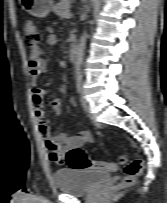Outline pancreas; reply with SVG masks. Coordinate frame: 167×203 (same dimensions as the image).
<instances>
[{
	"mask_svg": "<svg viewBox=\"0 0 167 203\" xmlns=\"http://www.w3.org/2000/svg\"><path fill=\"white\" fill-rule=\"evenodd\" d=\"M72 0H61L53 7V11L60 17H65V14L69 12L71 8Z\"/></svg>",
	"mask_w": 167,
	"mask_h": 203,
	"instance_id": "cf45deb5",
	"label": "pancreas"
}]
</instances>
